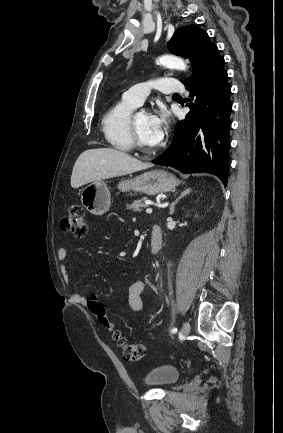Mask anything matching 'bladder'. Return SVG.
Instances as JSON below:
<instances>
[{"label": "bladder", "mask_w": 283, "mask_h": 433, "mask_svg": "<svg viewBox=\"0 0 283 433\" xmlns=\"http://www.w3.org/2000/svg\"><path fill=\"white\" fill-rule=\"evenodd\" d=\"M179 378V372L168 364H162L160 366L151 369L145 379V383L149 386L154 387H169L174 382H177Z\"/></svg>", "instance_id": "obj_1"}]
</instances>
